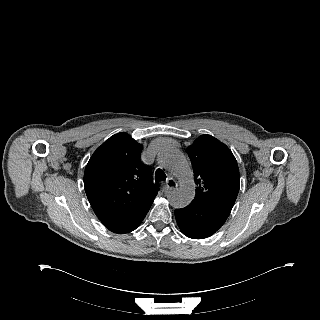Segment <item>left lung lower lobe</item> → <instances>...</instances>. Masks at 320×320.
I'll return each mask as SVG.
<instances>
[{"mask_svg":"<svg viewBox=\"0 0 320 320\" xmlns=\"http://www.w3.org/2000/svg\"><path fill=\"white\" fill-rule=\"evenodd\" d=\"M229 214L226 210L194 200L185 208L175 210L180 230L193 239L213 235L225 223Z\"/></svg>","mask_w":320,"mask_h":320,"instance_id":"0a47b994","label":"left lung lower lobe"}]
</instances>
